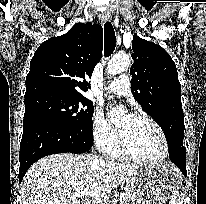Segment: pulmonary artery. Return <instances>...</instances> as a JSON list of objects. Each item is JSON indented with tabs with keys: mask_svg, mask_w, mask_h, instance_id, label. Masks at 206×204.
Masks as SVG:
<instances>
[{
	"mask_svg": "<svg viewBox=\"0 0 206 204\" xmlns=\"http://www.w3.org/2000/svg\"><path fill=\"white\" fill-rule=\"evenodd\" d=\"M106 90L119 96H128L131 93L130 80L127 75H121L112 81Z\"/></svg>",
	"mask_w": 206,
	"mask_h": 204,
	"instance_id": "obj_1",
	"label": "pulmonary artery"
}]
</instances>
